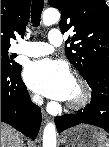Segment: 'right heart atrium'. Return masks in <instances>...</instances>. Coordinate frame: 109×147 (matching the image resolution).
<instances>
[{
	"instance_id": "d8ad5b80",
	"label": "right heart atrium",
	"mask_w": 109,
	"mask_h": 147,
	"mask_svg": "<svg viewBox=\"0 0 109 147\" xmlns=\"http://www.w3.org/2000/svg\"><path fill=\"white\" fill-rule=\"evenodd\" d=\"M32 99H33L35 102L38 101V97H37L36 95H33V96H32Z\"/></svg>"
}]
</instances>
